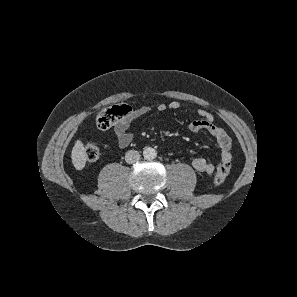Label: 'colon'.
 Returning a JSON list of instances; mask_svg holds the SVG:
<instances>
[{"mask_svg":"<svg viewBox=\"0 0 297 297\" xmlns=\"http://www.w3.org/2000/svg\"><path fill=\"white\" fill-rule=\"evenodd\" d=\"M131 107L126 104L115 105L99 112L96 124L101 130L110 129L118 120L128 116L131 113ZM86 159L95 161L98 159L100 151L96 144L87 143L84 147ZM231 164L227 161H221L218 164L217 172L213 182L216 186L222 184L230 172Z\"/></svg>","mask_w":297,"mask_h":297,"instance_id":"colon-1","label":"colon"}]
</instances>
